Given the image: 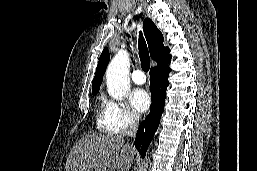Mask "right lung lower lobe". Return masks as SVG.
<instances>
[{
	"instance_id": "obj_1",
	"label": "right lung lower lobe",
	"mask_w": 257,
	"mask_h": 171,
	"mask_svg": "<svg viewBox=\"0 0 257 171\" xmlns=\"http://www.w3.org/2000/svg\"><path fill=\"white\" fill-rule=\"evenodd\" d=\"M168 64L169 62L158 64L150 71L151 110L146 120L139 126L135 138V147L142 157L145 156L164 111L166 88L169 85L168 74L171 71Z\"/></svg>"
}]
</instances>
